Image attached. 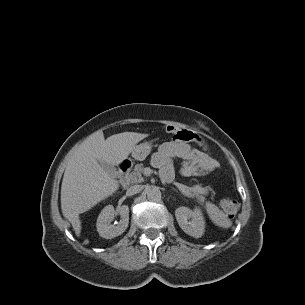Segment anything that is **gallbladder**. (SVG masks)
<instances>
[{
  "label": "gallbladder",
  "instance_id": "1",
  "mask_svg": "<svg viewBox=\"0 0 305 305\" xmlns=\"http://www.w3.org/2000/svg\"><path fill=\"white\" fill-rule=\"evenodd\" d=\"M100 166L111 176V177H115L117 175V169L111 165L108 164L106 162H102V161H98Z\"/></svg>",
  "mask_w": 305,
  "mask_h": 305
}]
</instances>
